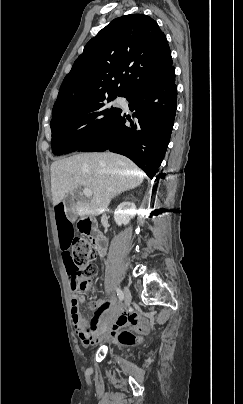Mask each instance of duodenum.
Wrapping results in <instances>:
<instances>
[{
  "instance_id": "1",
  "label": "duodenum",
  "mask_w": 243,
  "mask_h": 404,
  "mask_svg": "<svg viewBox=\"0 0 243 404\" xmlns=\"http://www.w3.org/2000/svg\"><path fill=\"white\" fill-rule=\"evenodd\" d=\"M79 230L82 234L87 236L90 241L94 244L95 249L99 256L103 257L106 255L108 241L103 233L98 229L94 220L89 217L82 219L79 222Z\"/></svg>"
}]
</instances>
